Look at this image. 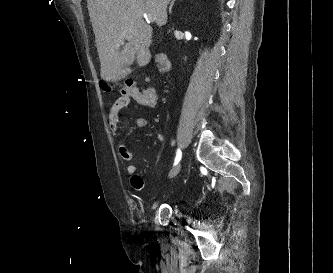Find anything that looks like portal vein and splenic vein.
<instances>
[{"mask_svg": "<svg viewBox=\"0 0 333 273\" xmlns=\"http://www.w3.org/2000/svg\"><path fill=\"white\" fill-rule=\"evenodd\" d=\"M144 17L146 18V20L148 21V22H153L154 21V19H153V17H151L150 15H144Z\"/></svg>", "mask_w": 333, "mask_h": 273, "instance_id": "obj_1", "label": "portal vein and splenic vein"}]
</instances>
